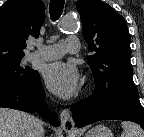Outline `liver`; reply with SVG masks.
Returning <instances> with one entry per match:
<instances>
[{
  "label": "liver",
  "instance_id": "6515ba94",
  "mask_svg": "<svg viewBox=\"0 0 144 137\" xmlns=\"http://www.w3.org/2000/svg\"><path fill=\"white\" fill-rule=\"evenodd\" d=\"M0 137H44L43 122L22 111L0 108Z\"/></svg>",
  "mask_w": 144,
  "mask_h": 137
}]
</instances>
